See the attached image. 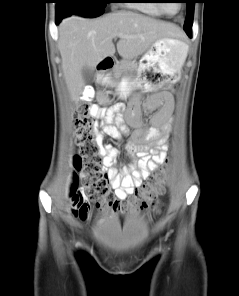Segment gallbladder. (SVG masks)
Segmentation results:
<instances>
[{"mask_svg": "<svg viewBox=\"0 0 239 296\" xmlns=\"http://www.w3.org/2000/svg\"><path fill=\"white\" fill-rule=\"evenodd\" d=\"M82 74H83V78L85 80L86 83H89L93 80L94 78V73L92 70L88 69V68H84L82 70Z\"/></svg>", "mask_w": 239, "mask_h": 296, "instance_id": "1", "label": "gallbladder"}]
</instances>
